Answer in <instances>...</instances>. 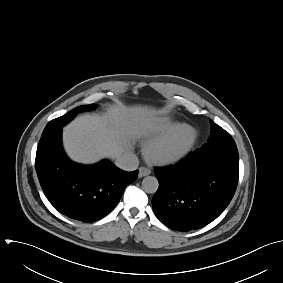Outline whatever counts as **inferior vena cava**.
<instances>
[{"instance_id": "obj_1", "label": "inferior vena cava", "mask_w": 283, "mask_h": 283, "mask_svg": "<svg viewBox=\"0 0 283 283\" xmlns=\"http://www.w3.org/2000/svg\"><path fill=\"white\" fill-rule=\"evenodd\" d=\"M115 164L123 170L133 171L138 168L139 160L134 153L126 152L116 158Z\"/></svg>"}]
</instances>
